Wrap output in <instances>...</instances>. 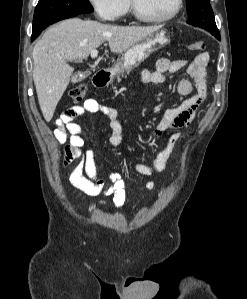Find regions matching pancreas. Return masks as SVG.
I'll return each mask as SVG.
<instances>
[{
  "label": "pancreas",
  "mask_w": 247,
  "mask_h": 299,
  "mask_svg": "<svg viewBox=\"0 0 247 299\" xmlns=\"http://www.w3.org/2000/svg\"><path fill=\"white\" fill-rule=\"evenodd\" d=\"M126 77V76H125ZM118 82L121 80L119 77L117 78Z\"/></svg>",
  "instance_id": "pancreas-1"
}]
</instances>
